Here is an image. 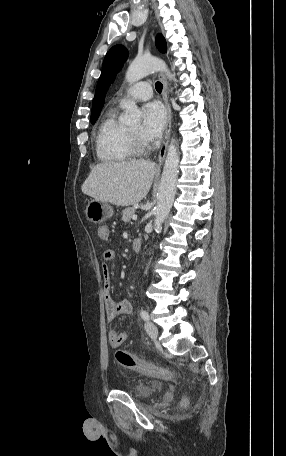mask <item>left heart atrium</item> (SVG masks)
<instances>
[{"mask_svg":"<svg viewBox=\"0 0 286 456\" xmlns=\"http://www.w3.org/2000/svg\"><path fill=\"white\" fill-rule=\"evenodd\" d=\"M166 112L158 102H151L143 107V124L140 129V137L151 142L158 139L164 129Z\"/></svg>","mask_w":286,"mask_h":456,"instance_id":"1","label":"left heart atrium"}]
</instances>
